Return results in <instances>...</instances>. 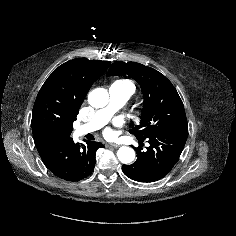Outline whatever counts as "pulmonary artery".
<instances>
[{"label": "pulmonary artery", "instance_id": "e3ab8cb5", "mask_svg": "<svg viewBox=\"0 0 236 236\" xmlns=\"http://www.w3.org/2000/svg\"><path fill=\"white\" fill-rule=\"evenodd\" d=\"M133 87L131 84L116 81L109 87V103L106 107L95 112L91 120L76 128V136H82L94 132L103 127L112 115L119 110L131 97Z\"/></svg>", "mask_w": 236, "mask_h": 236}]
</instances>
